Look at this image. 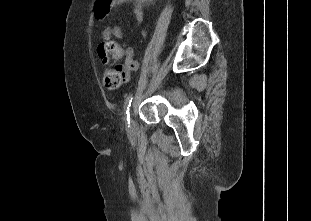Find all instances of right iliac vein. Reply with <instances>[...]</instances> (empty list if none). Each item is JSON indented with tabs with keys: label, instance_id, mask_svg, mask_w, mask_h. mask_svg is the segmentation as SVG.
<instances>
[{
	"label": "right iliac vein",
	"instance_id": "obj_1",
	"mask_svg": "<svg viewBox=\"0 0 311 221\" xmlns=\"http://www.w3.org/2000/svg\"><path fill=\"white\" fill-rule=\"evenodd\" d=\"M134 129V120L131 119V124L129 125L128 131L131 133Z\"/></svg>",
	"mask_w": 311,
	"mask_h": 221
}]
</instances>
